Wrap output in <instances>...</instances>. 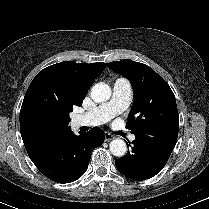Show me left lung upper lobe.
<instances>
[{"label": "left lung upper lobe", "instance_id": "left-lung-upper-lobe-1", "mask_svg": "<svg viewBox=\"0 0 209 209\" xmlns=\"http://www.w3.org/2000/svg\"><path fill=\"white\" fill-rule=\"evenodd\" d=\"M107 66L128 78L134 88V103L126 128L135 135L177 138L176 100L165 80L149 66L129 59L110 62Z\"/></svg>", "mask_w": 209, "mask_h": 209}]
</instances>
